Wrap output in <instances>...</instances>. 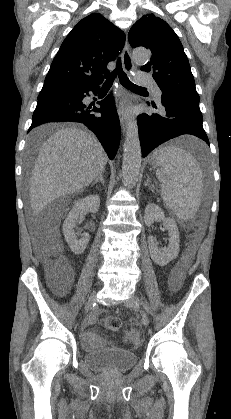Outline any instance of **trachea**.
<instances>
[{"label":"trachea","instance_id":"3493384b","mask_svg":"<svg viewBox=\"0 0 231 419\" xmlns=\"http://www.w3.org/2000/svg\"><path fill=\"white\" fill-rule=\"evenodd\" d=\"M119 77L120 83L127 89L130 90H146L144 87H140L138 85L133 84L129 78L127 77L126 73L122 69L121 59L118 58L116 68L109 74L106 75V81L103 84V88H110L113 84V81L116 77Z\"/></svg>","mask_w":231,"mask_h":419}]
</instances>
